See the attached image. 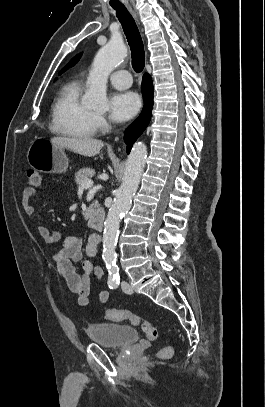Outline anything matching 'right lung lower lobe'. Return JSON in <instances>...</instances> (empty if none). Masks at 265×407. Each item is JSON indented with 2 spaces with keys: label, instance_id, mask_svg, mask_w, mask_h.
Here are the masks:
<instances>
[{
  "label": "right lung lower lobe",
  "instance_id": "right-lung-lower-lobe-1",
  "mask_svg": "<svg viewBox=\"0 0 265 407\" xmlns=\"http://www.w3.org/2000/svg\"><path fill=\"white\" fill-rule=\"evenodd\" d=\"M144 107L139 117L127 129L125 141L127 143V153L130 152L132 144L143 133L151 119V111L153 107V84L149 74H144L141 85Z\"/></svg>",
  "mask_w": 265,
  "mask_h": 407
}]
</instances>
